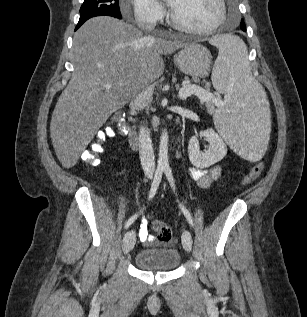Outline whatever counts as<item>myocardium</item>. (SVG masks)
I'll return each mask as SVG.
<instances>
[{
	"label": "myocardium",
	"instance_id": "obj_1",
	"mask_svg": "<svg viewBox=\"0 0 307 317\" xmlns=\"http://www.w3.org/2000/svg\"><path fill=\"white\" fill-rule=\"evenodd\" d=\"M217 3L219 5V16L215 23H213L211 26L206 28H191L188 26H185L182 24L174 15L173 11H170V24L172 27H174L176 30L191 34V35H199L204 36L208 35L215 30H217L225 21L226 15H227V6L225 0H217Z\"/></svg>",
	"mask_w": 307,
	"mask_h": 317
}]
</instances>
